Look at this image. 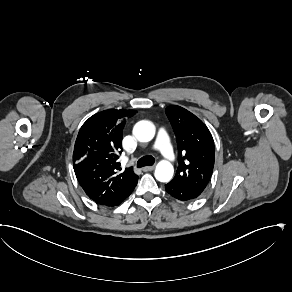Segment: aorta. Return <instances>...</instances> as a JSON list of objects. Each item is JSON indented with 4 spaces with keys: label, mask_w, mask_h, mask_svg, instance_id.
Instances as JSON below:
<instances>
[{
    "label": "aorta",
    "mask_w": 292,
    "mask_h": 292,
    "mask_svg": "<svg viewBox=\"0 0 292 292\" xmlns=\"http://www.w3.org/2000/svg\"><path fill=\"white\" fill-rule=\"evenodd\" d=\"M134 135L140 142H149L155 136L154 126L148 121H140L134 127ZM174 174L173 164L167 160H160L155 168V177L161 182L171 180Z\"/></svg>",
    "instance_id": "obj_1"
}]
</instances>
